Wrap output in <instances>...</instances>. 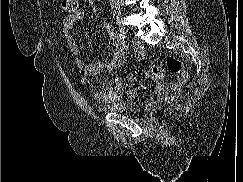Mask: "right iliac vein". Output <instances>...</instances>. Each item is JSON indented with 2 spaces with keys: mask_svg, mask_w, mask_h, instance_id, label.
<instances>
[{
  "mask_svg": "<svg viewBox=\"0 0 243 182\" xmlns=\"http://www.w3.org/2000/svg\"><path fill=\"white\" fill-rule=\"evenodd\" d=\"M118 26L122 34L128 33L127 27L122 22H118Z\"/></svg>",
  "mask_w": 243,
  "mask_h": 182,
  "instance_id": "1",
  "label": "right iliac vein"
}]
</instances>
